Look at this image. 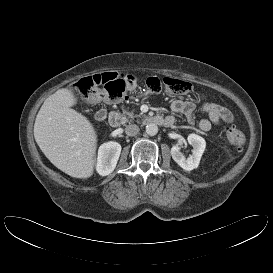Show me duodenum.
<instances>
[{"instance_id": "obj_1", "label": "duodenum", "mask_w": 273, "mask_h": 273, "mask_svg": "<svg viewBox=\"0 0 273 273\" xmlns=\"http://www.w3.org/2000/svg\"><path fill=\"white\" fill-rule=\"evenodd\" d=\"M108 123L111 127H118L120 125V115L117 111H111L109 112L107 116ZM145 123L147 125H157V126H171L173 124L172 121L168 120L165 117H162L160 115L149 117L145 120Z\"/></svg>"}]
</instances>
